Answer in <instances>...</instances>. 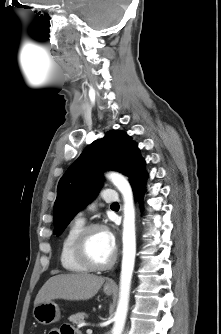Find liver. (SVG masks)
<instances>
[{
    "label": "liver",
    "instance_id": "6515ba94",
    "mask_svg": "<svg viewBox=\"0 0 221 334\" xmlns=\"http://www.w3.org/2000/svg\"><path fill=\"white\" fill-rule=\"evenodd\" d=\"M104 277L88 273L61 274L48 279L38 292L34 307L54 299L88 300L103 285Z\"/></svg>",
    "mask_w": 221,
    "mask_h": 334
}]
</instances>
